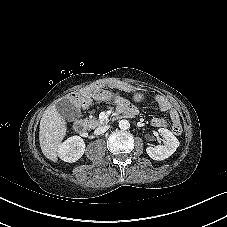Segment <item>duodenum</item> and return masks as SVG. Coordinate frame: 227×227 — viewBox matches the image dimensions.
<instances>
[{"label": "duodenum", "mask_w": 227, "mask_h": 227, "mask_svg": "<svg viewBox=\"0 0 227 227\" xmlns=\"http://www.w3.org/2000/svg\"><path fill=\"white\" fill-rule=\"evenodd\" d=\"M132 115H133L132 113H124V112L118 111L116 114V119L129 117ZM77 131L81 136L85 137L87 135V124L84 121L79 122L77 124Z\"/></svg>", "instance_id": "410a0bca"}]
</instances>
